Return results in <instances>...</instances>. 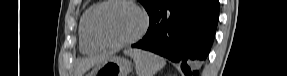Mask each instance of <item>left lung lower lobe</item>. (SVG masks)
<instances>
[{
  "label": "left lung lower lobe",
  "instance_id": "obj_1",
  "mask_svg": "<svg viewBox=\"0 0 287 76\" xmlns=\"http://www.w3.org/2000/svg\"><path fill=\"white\" fill-rule=\"evenodd\" d=\"M149 16L146 35L132 47L179 63L187 76H199L214 40L219 1L166 0Z\"/></svg>",
  "mask_w": 287,
  "mask_h": 76
}]
</instances>
